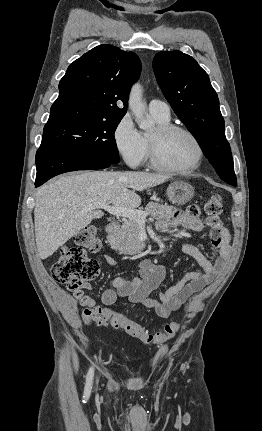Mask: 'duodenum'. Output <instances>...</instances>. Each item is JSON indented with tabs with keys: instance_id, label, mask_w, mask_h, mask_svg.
Here are the masks:
<instances>
[{
	"instance_id": "1",
	"label": "duodenum",
	"mask_w": 262,
	"mask_h": 431,
	"mask_svg": "<svg viewBox=\"0 0 262 431\" xmlns=\"http://www.w3.org/2000/svg\"><path fill=\"white\" fill-rule=\"evenodd\" d=\"M120 230V226L117 223H109L105 226V232L109 235H116Z\"/></svg>"
}]
</instances>
